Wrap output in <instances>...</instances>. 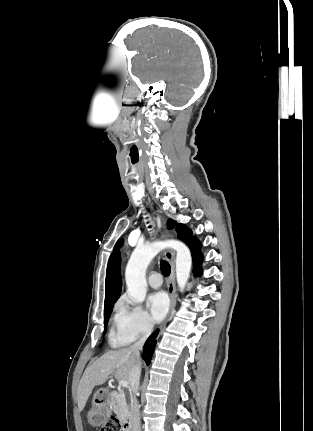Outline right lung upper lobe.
<instances>
[{
  "instance_id": "right-lung-upper-lobe-1",
  "label": "right lung upper lobe",
  "mask_w": 313,
  "mask_h": 431,
  "mask_svg": "<svg viewBox=\"0 0 313 431\" xmlns=\"http://www.w3.org/2000/svg\"><path fill=\"white\" fill-rule=\"evenodd\" d=\"M105 287L104 308L114 305L121 293V257L117 250L111 254L108 261Z\"/></svg>"
}]
</instances>
